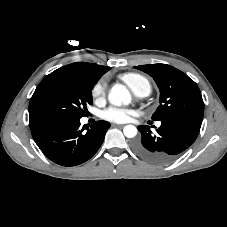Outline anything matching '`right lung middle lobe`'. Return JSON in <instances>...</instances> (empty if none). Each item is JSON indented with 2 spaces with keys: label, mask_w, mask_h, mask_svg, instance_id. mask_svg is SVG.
Returning <instances> with one entry per match:
<instances>
[{
  "label": "right lung middle lobe",
  "mask_w": 227,
  "mask_h": 227,
  "mask_svg": "<svg viewBox=\"0 0 227 227\" xmlns=\"http://www.w3.org/2000/svg\"><path fill=\"white\" fill-rule=\"evenodd\" d=\"M94 81L69 74L54 72L37 86L29 104V126L47 122H65L86 115L92 105L91 89Z\"/></svg>",
  "instance_id": "obj_1"
}]
</instances>
